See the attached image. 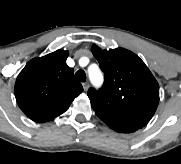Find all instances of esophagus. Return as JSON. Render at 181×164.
<instances>
[{
  "instance_id": "obj_1",
  "label": "esophagus",
  "mask_w": 181,
  "mask_h": 164,
  "mask_svg": "<svg viewBox=\"0 0 181 164\" xmlns=\"http://www.w3.org/2000/svg\"><path fill=\"white\" fill-rule=\"evenodd\" d=\"M82 85L85 91L89 89V82H84Z\"/></svg>"
}]
</instances>
